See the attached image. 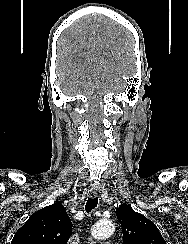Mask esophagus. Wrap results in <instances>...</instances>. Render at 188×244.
Instances as JSON below:
<instances>
[{"mask_svg": "<svg viewBox=\"0 0 188 244\" xmlns=\"http://www.w3.org/2000/svg\"><path fill=\"white\" fill-rule=\"evenodd\" d=\"M90 195H91L92 197H95V196L98 195V191H97V190H91V191H90Z\"/></svg>", "mask_w": 188, "mask_h": 244, "instance_id": "obj_1", "label": "esophagus"}]
</instances>
